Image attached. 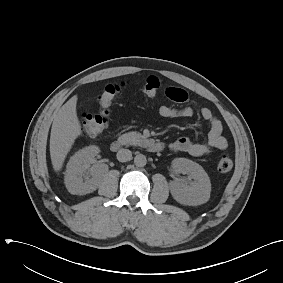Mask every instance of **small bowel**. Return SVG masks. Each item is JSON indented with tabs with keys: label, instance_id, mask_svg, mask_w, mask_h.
I'll use <instances>...</instances> for the list:
<instances>
[{
	"label": "small bowel",
	"instance_id": "small-bowel-1",
	"mask_svg": "<svg viewBox=\"0 0 283 283\" xmlns=\"http://www.w3.org/2000/svg\"><path fill=\"white\" fill-rule=\"evenodd\" d=\"M166 96L178 103H183L188 100V94L185 90L178 87H167L165 89ZM201 116L210 124L208 138L205 142H194L187 137H180L170 144V149L174 152L188 153L194 157H202L211 154L215 150H224L227 148V140L222 135V123L213 114L209 108H202ZM159 115L162 118H175V117H192L194 109L190 106L183 108H172L169 106H161L159 108Z\"/></svg>",
	"mask_w": 283,
	"mask_h": 283
}]
</instances>
